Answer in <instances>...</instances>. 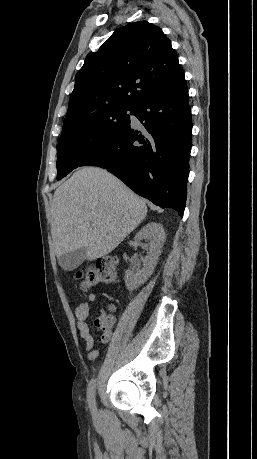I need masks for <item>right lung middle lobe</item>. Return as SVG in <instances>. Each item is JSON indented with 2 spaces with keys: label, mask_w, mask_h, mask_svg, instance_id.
Wrapping results in <instances>:
<instances>
[{
  "label": "right lung middle lobe",
  "mask_w": 257,
  "mask_h": 459,
  "mask_svg": "<svg viewBox=\"0 0 257 459\" xmlns=\"http://www.w3.org/2000/svg\"><path fill=\"white\" fill-rule=\"evenodd\" d=\"M135 107H113L80 119L62 129L58 142L57 180L111 145L130 125Z\"/></svg>",
  "instance_id": "1"
}]
</instances>
